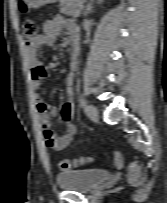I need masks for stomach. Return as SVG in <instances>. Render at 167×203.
<instances>
[{
  "label": "stomach",
  "instance_id": "0dacf381",
  "mask_svg": "<svg viewBox=\"0 0 167 203\" xmlns=\"http://www.w3.org/2000/svg\"><path fill=\"white\" fill-rule=\"evenodd\" d=\"M29 8H38L48 3H55L58 0H22Z\"/></svg>",
  "mask_w": 167,
  "mask_h": 203
}]
</instances>
